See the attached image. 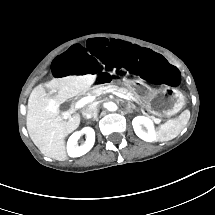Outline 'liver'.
Here are the masks:
<instances>
[{"mask_svg":"<svg viewBox=\"0 0 215 215\" xmlns=\"http://www.w3.org/2000/svg\"><path fill=\"white\" fill-rule=\"evenodd\" d=\"M95 80L96 75L92 74L54 78L45 84L57 93L54 98L48 97L42 85L32 90L26 125L31 140L45 156L67 160L64 139L78 128L80 115L74 114L68 121L61 120L58 118L59 106L69 98L84 95Z\"/></svg>","mask_w":215,"mask_h":215,"instance_id":"liver-1","label":"liver"}]
</instances>
